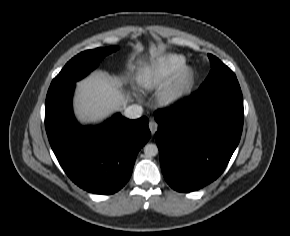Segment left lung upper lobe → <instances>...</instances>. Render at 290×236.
Returning <instances> with one entry per match:
<instances>
[{"instance_id":"left-lung-upper-lobe-1","label":"left lung upper lobe","mask_w":290,"mask_h":236,"mask_svg":"<svg viewBox=\"0 0 290 236\" xmlns=\"http://www.w3.org/2000/svg\"><path fill=\"white\" fill-rule=\"evenodd\" d=\"M211 62V71L199 89L207 88L216 84L237 80L234 72L223 64L217 57L208 54Z\"/></svg>"}]
</instances>
